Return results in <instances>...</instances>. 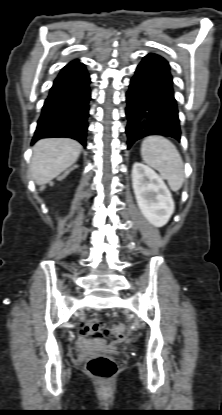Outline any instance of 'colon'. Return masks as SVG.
I'll return each instance as SVG.
<instances>
[{
  "instance_id": "obj_1",
  "label": "colon",
  "mask_w": 222,
  "mask_h": 415,
  "mask_svg": "<svg viewBox=\"0 0 222 415\" xmlns=\"http://www.w3.org/2000/svg\"><path fill=\"white\" fill-rule=\"evenodd\" d=\"M80 333L83 336L101 338L107 336L109 331L99 319L93 318L81 324ZM115 335L118 339H123L125 337V331L117 327ZM85 367L92 377L103 381L112 379L117 372L115 358L105 354L91 355L88 357Z\"/></svg>"
}]
</instances>
